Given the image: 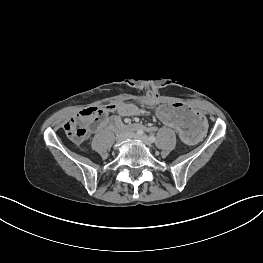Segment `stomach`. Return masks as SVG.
<instances>
[{"instance_id": "0dacf381", "label": "stomach", "mask_w": 263, "mask_h": 263, "mask_svg": "<svg viewBox=\"0 0 263 263\" xmlns=\"http://www.w3.org/2000/svg\"><path fill=\"white\" fill-rule=\"evenodd\" d=\"M150 110L158 124L174 129L178 139L187 146L203 143L210 134V125L204 115L182 103L153 104Z\"/></svg>"}]
</instances>
